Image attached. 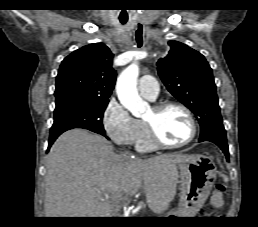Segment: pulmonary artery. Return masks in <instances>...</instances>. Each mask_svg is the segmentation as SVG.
Segmentation results:
<instances>
[{
    "label": "pulmonary artery",
    "mask_w": 258,
    "mask_h": 227,
    "mask_svg": "<svg viewBox=\"0 0 258 227\" xmlns=\"http://www.w3.org/2000/svg\"><path fill=\"white\" fill-rule=\"evenodd\" d=\"M139 93L146 99L155 100L159 93L156 79L152 76H143L138 83Z\"/></svg>",
    "instance_id": "1"
}]
</instances>
